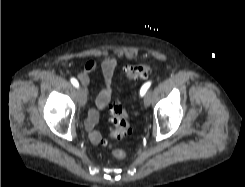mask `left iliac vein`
Returning <instances> with one entry per match:
<instances>
[{
    "label": "left iliac vein",
    "mask_w": 245,
    "mask_h": 187,
    "mask_svg": "<svg viewBox=\"0 0 245 187\" xmlns=\"http://www.w3.org/2000/svg\"><path fill=\"white\" fill-rule=\"evenodd\" d=\"M144 104H145V106L150 105V94L149 93H147L144 97Z\"/></svg>",
    "instance_id": "left-iliac-vein-1"
}]
</instances>
